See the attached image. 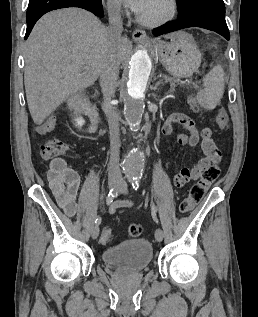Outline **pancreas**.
Masks as SVG:
<instances>
[{"label":"pancreas","mask_w":258,"mask_h":317,"mask_svg":"<svg viewBox=\"0 0 258 317\" xmlns=\"http://www.w3.org/2000/svg\"><path fill=\"white\" fill-rule=\"evenodd\" d=\"M165 78H166V82H170V86H171L172 90H174V88H175V86H177V84H175L173 76H165Z\"/></svg>","instance_id":"obj_1"}]
</instances>
